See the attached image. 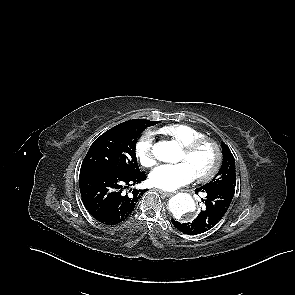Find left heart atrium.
<instances>
[{
    "mask_svg": "<svg viewBox=\"0 0 295 295\" xmlns=\"http://www.w3.org/2000/svg\"><path fill=\"white\" fill-rule=\"evenodd\" d=\"M197 175L186 162L165 164L154 169L149 180L155 187L165 190H175L192 182Z\"/></svg>",
    "mask_w": 295,
    "mask_h": 295,
    "instance_id": "39dd6f15",
    "label": "left heart atrium"
}]
</instances>
